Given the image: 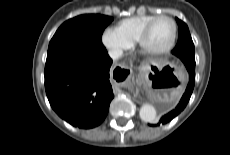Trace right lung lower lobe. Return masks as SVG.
<instances>
[{"label":"right lung lower lobe","mask_w":230,"mask_h":155,"mask_svg":"<svg viewBox=\"0 0 230 155\" xmlns=\"http://www.w3.org/2000/svg\"><path fill=\"white\" fill-rule=\"evenodd\" d=\"M107 51L64 53L46 60L45 89L53 110L79 128L98 126L114 95Z\"/></svg>","instance_id":"right-lung-lower-lobe-1"}]
</instances>
